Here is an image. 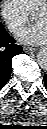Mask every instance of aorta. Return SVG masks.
<instances>
[{
  "mask_svg": "<svg viewBox=\"0 0 47 129\" xmlns=\"http://www.w3.org/2000/svg\"><path fill=\"white\" fill-rule=\"evenodd\" d=\"M37 61L40 67L46 68L47 66V51L46 49H41L37 54Z\"/></svg>",
  "mask_w": 47,
  "mask_h": 129,
  "instance_id": "aorta-1",
  "label": "aorta"
}]
</instances>
